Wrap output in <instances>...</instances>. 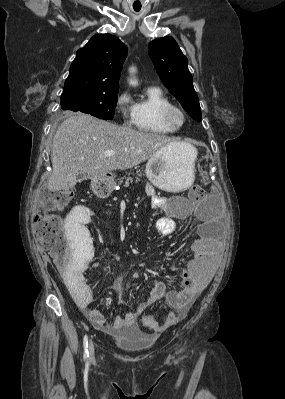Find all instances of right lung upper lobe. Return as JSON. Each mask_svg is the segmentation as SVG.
Here are the masks:
<instances>
[{"instance_id": "cb5924a9", "label": "right lung upper lobe", "mask_w": 285, "mask_h": 399, "mask_svg": "<svg viewBox=\"0 0 285 399\" xmlns=\"http://www.w3.org/2000/svg\"><path fill=\"white\" fill-rule=\"evenodd\" d=\"M126 56L127 47L117 37L110 34L94 35L77 51L62 94L117 92Z\"/></svg>"}]
</instances>
